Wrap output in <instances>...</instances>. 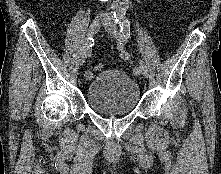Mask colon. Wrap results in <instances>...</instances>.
Segmentation results:
<instances>
[{
	"instance_id": "colon-1",
	"label": "colon",
	"mask_w": 221,
	"mask_h": 174,
	"mask_svg": "<svg viewBox=\"0 0 221 174\" xmlns=\"http://www.w3.org/2000/svg\"><path fill=\"white\" fill-rule=\"evenodd\" d=\"M102 69H103V64L102 63H98L94 66L95 71H101Z\"/></svg>"
}]
</instances>
